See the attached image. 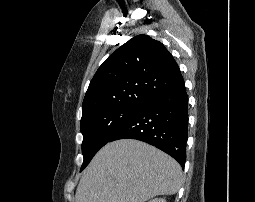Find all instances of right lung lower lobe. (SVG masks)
<instances>
[{"label": "right lung lower lobe", "instance_id": "98d812e1", "mask_svg": "<svg viewBox=\"0 0 255 202\" xmlns=\"http://www.w3.org/2000/svg\"><path fill=\"white\" fill-rule=\"evenodd\" d=\"M125 138L149 143L184 167L188 138V95L185 86L159 94L141 105L109 142Z\"/></svg>", "mask_w": 255, "mask_h": 202}]
</instances>
